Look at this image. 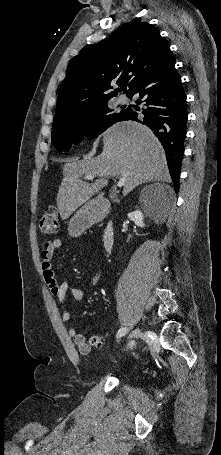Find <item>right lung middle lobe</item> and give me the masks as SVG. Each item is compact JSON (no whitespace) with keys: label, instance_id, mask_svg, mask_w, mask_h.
<instances>
[{"label":"right lung middle lobe","instance_id":"dd1d6c3e","mask_svg":"<svg viewBox=\"0 0 221 455\" xmlns=\"http://www.w3.org/2000/svg\"><path fill=\"white\" fill-rule=\"evenodd\" d=\"M107 102L53 123L52 144L56 149L59 152L69 151L73 144L81 142L84 134L93 139L114 123L121 121L127 109L113 113Z\"/></svg>","mask_w":221,"mask_h":455}]
</instances>
